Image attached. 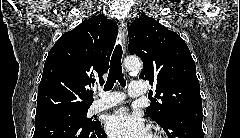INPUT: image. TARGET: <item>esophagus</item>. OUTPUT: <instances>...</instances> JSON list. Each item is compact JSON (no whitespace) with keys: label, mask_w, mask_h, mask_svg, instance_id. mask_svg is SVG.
Instances as JSON below:
<instances>
[{"label":"esophagus","mask_w":240,"mask_h":138,"mask_svg":"<svg viewBox=\"0 0 240 138\" xmlns=\"http://www.w3.org/2000/svg\"><path fill=\"white\" fill-rule=\"evenodd\" d=\"M119 32L123 53H125L127 48V23L125 21L120 22Z\"/></svg>","instance_id":"1"}]
</instances>
